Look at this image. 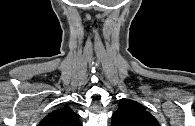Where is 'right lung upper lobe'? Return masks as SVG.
Returning <instances> with one entry per match:
<instances>
[{
  "mask_svg": "<svg viewBox=\"0 0 195 126\" xmlns=\"http://www.w3.org/2000/svg\"><path fill=\"white\" fill-rule=\"evenodd\" d=\"M78 118L79 115L70 107L64 106L44 117L39 126H81Z\"/></svg>",
  "mask_w": 195,
  "mask_h": 126,
  "instance_id": "1",
  "label": "right lung upper lobe"
}]
</instances>
